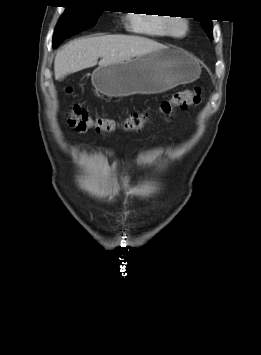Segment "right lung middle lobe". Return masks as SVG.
<instances>
[{
  "mask_svg": "<svg viewBox=\"0 0 261 355\" xmlns=\"http://www.w3.org/2000/svg\"><path fill=\"white\" fill-rule=\"evenodd\" d=\"M103 10L78 4L67 6L56 26L53 42L92 28Z\"/></svg>",
  "mask_w": 261,
  "mask_h": 355,
  "instance_id": "dd1d6c3e",
  "label": "right lung middle lobe"
}]
</instances>
